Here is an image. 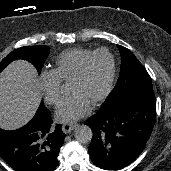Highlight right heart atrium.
Listing matches in <instances>:
<instances>
[{"label": "right heart atrium", "instance_id": "right-heart-atrium-1", "mask_svg": "<svg viewBox=\"0 0 171 171\" xmlns=\"http://www.w3.org/2000/svg\"><path fill=\"white\" fill-rule=\"evenodd\" d=\"M44 99L49 105L58 104L61 97V82L52 71H43L39 78Z\"/></svg>", "mask_w": 171, "mask_h": 171}]
</instances>
